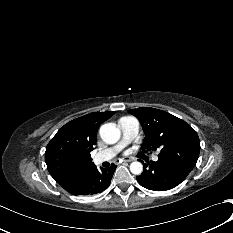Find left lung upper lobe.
Returning <instances> with one entry per match:
<instances>
[{"label":"left lung upper lobe","mask_w":233,"mask_h":233,"mask_svg":"<svg viewBox=\"0 0 233 233\" xmlns=\"http://www.w3.org/2000/svg\"><path fill=\"white\" fill-rule=\"evenodd\" d=\"M140 121L145 133L141 149H160L158 158L191 171L198 160L200 140L196 131L180 118L155 108L128 111Z\"/></svg>","instance_id":"1"}]
</instances>
